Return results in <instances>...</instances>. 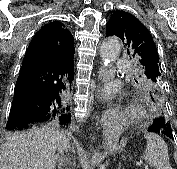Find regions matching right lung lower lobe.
<instances>
[{
  "label": "right lung lower lobe",
  "mask_w": 177,
  "mask_h": 169,
  "mask_svg": "<svg viewBox=\"0 0 177 169\" xmlns=\"http://www.w3.org/2000/svg\"><path fill=\"white\" fill-rule=\"evenodd\" d=\"M74 77V64L24 60L14 89L7 130L51 122L67 125L71 115L65 93Z\"/></svg>",
  "instance_id": "98d812e1"
}]
</instances>
